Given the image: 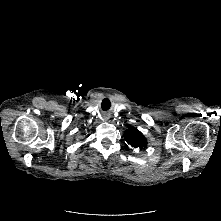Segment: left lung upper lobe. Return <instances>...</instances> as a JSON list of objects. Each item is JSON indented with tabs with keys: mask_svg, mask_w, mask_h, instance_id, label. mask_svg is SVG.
<instances>
[{
	"mask_svg": "<svg viewBox=\"0 0 221 221\" xmlns=\"http://www.w3.org/2000/svg\"><path fill=\"white\" fill-rule=\"evenodd\" d=\"M123 137L127 144L134 148H144L147 146L146 138L137 128L129 127Z\"/></svg>",
	"mask_w": 221,
	"mask_h": 221,
	"instance_id": "obj_1",
	"label": "left lung upper lobe"
}]
</instances>
